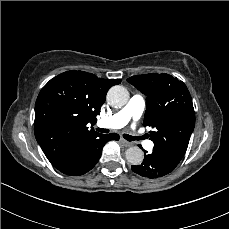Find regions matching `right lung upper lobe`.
<instances>
[{
    "instance_id": "right-lung-upper-lobe-1",
    "label": "right lung upper lobe",
    "mask_w": 229,
    "mask_h": 229,
    "mask_svg": "<svg viewBox=\"0 0 229 229\" xmlns=\"http://www.w3.org/2000/svg\"><path fill=\"white\" fill-rule=\"evenodd\" d=\"M121 79H102L83 71H67L51 79L35 104L34 132L45 156L56 168L88 139L108 89Z\"/></svg>"
}]
</instances>
